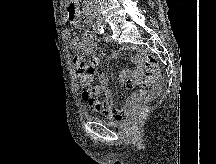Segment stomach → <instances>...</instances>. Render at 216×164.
Wrapping results in <instances>:
<instances>
[{
	"label": "stomach",
	"mask_w": 216,
	"mask_h": 164,
	"mask_svg": "<svg viewBox=\"0 0 216 164\" xmlns=\"http://www.w3.org/2000/svg\"><path fill=\"white\" fill-rule=\"evenodd\" d=\"M66 14H69V16H73L74 14H79V9H76V7H67Z\"/></svg>",
	"instance_id": "1"
}]
</instances>
